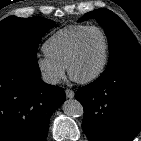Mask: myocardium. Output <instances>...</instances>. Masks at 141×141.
<instances>
[{
    "label": "myocardium",
    "instance_id": "myocardium-1",
    "mask_svg": "<svg viewBox=\"0 0 141 141\" xmlns=\"http://www.w3.org/2000/svg\"><path fill=\"white\" fill-rule=\"evenodd\" d=\"M92 30H96L98 31L104 38V42H105V50H104V57H103V61L100 65V67L97 69V71H95L92 75L86 77V78H76L73 74H72V65L74 63V61L76 60L79 52H80V48H81V44L83 41V38L85 37V35L92 31ZM109 53H110V42H109V38L106 34V32L98 26H88L86 29H84L79 36L77 37L74 46L72 48V51L69 55L68 61H67V72L70 76L71 79H73L74 81H76L77 83L80 84H89L91 82H94L95 80H97L105 71L107 64H108V60H109Z\"/></svg>",
    "mask_w": 141,
    "mask_h": 141
}]
</instances>
